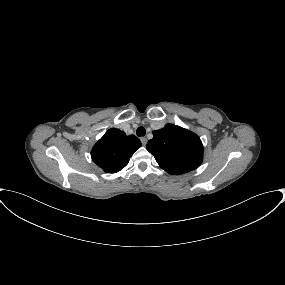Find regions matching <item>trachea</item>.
<instances>
[{
  "instance_id": "3493384b",
  "label": "trachea",
  "mask_w": 285,
  "mask_h": 285,
  "mask_svg": "<svg viewBox=\"0 0 285 285\" xmlns=\"http://www.w3.org/2000/svg\"><path fill=\"white\" fill-rule=\"evenodd\" d=\"M136 134L138 137H142V136H145L146 134V130L144 127H139L137 130H136Z\"/></svg>"
}]
</instances>
